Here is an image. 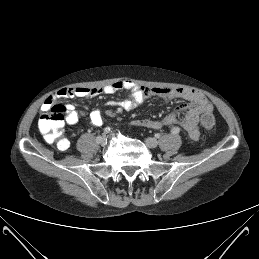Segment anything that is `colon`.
Masks as SVG:
<instances>
[{"instance_id":"obj_1","label":"colon","mask_w":259,"mask_h":259,"mask_svg":"<svg viewBox=\"0 0 259 259\" xmlns=\"http://www.w3.org/2000/svg\"><path fill=\"white\" fill-rule=\"evenodd\" d=\"M65 112L64 105L53 102L48 108L42 110L38 120V129L44 139L49 143H54L62 150L69 147L64 133ZM200 123L205 129L210 130L215 125V118L211 113L203 114Z\"/></svg>"}]
</instances>
